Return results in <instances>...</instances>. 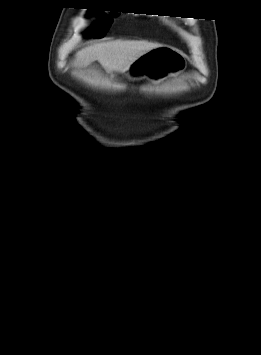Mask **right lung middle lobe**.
I'll return each mask as SVG.
<instances>
[{
	"label": "right lung middle lobe",
	"mask_w": 261,
	"mask_h": 355,
	"mask_svg": "<svg viewBox=\"0 0 261 355\" xmlns=\"http://www.w3.org/2000/svg\"><path fill=\"white\" fill-rule=\"evenodd\" d=\"M113 20L111 18H106L103 21L96 23L94 27L89 29L86 34L93 38H102L107 33L109 27L111 26Z\"/></svg>",
	"instance_id": "obj_1"
}]
</instances>
